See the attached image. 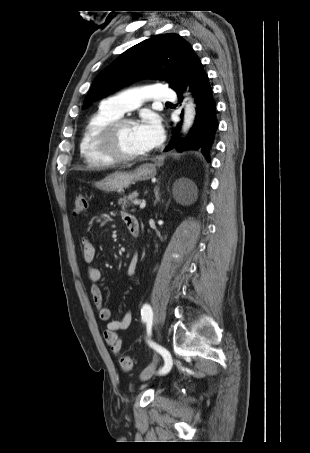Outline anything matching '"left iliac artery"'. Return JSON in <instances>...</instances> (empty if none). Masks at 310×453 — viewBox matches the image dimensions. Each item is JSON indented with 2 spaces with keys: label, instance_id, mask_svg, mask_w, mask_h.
<instances>
[{
  "label": "left iliac artery",
  "instance_id": "left-iliac-artery-1",
  "mask_svg": "<svg viewBox=\"0 0 310 453\" xmlns=\"http://www.w3.org/2000/svg\"><path fill=\"white\" fill-rule=\"evenodd\" d=\"M141 316H142L143 322L152 323L153 312H152L150 305H148V304L143 305V307L141 309ZM149 344L153 349H155L157 352H159L163 356L164 361H165L164 366L159 370L158 374H160V375L167 374L172 367V359H171L170 353L166 349L162 348L161 346L157 345L154 342L149 341Z\"/></svg>",
  "mask_w": 310,
  "mask_h": 453
}]
</instances>
